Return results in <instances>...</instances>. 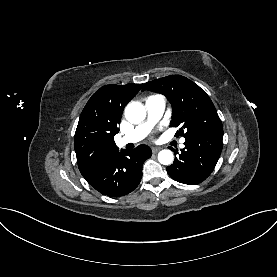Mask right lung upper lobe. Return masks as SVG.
Instances as JSON below:
<instances>
[{
    "mask_svg": "<svg viewBox=\"0 0 277 277\" xmlns=\"http://www.w3.org/2000/svg\"><path fill=\"white\" fill-rule=\"evenodd\" d=\"M142 86L134 83L106 85L85 105L74 138L77 163L83 176L119 150L114 136L119 131L122 111Z\"/></svg>",
    "mask_w": 277,
    "mask_h": 277,
    "instance_id": "cb5924a9",
    "label": "right lung upper lobe"
}]
</instances>
